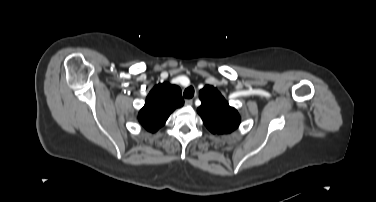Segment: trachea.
Segmentation results:
<instances>
[{"mask_svg": "<svg viewBox=\"0 0 376 202\" xmlns=\"http://www.w3.org/2000/svg\"><path fill=\"white\" fill-rule=\"evenodd\" d=\"M184 98L190 99L194 96V88L192 86H189L185 89L183 93Z\"/></svg>", "mask_w": 376, "mask_h": 202, "instance_id": "obj_1", "label": "trachea"}]
</instances>
